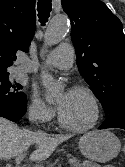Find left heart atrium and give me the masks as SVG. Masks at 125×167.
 Segmentation results:
<instances>
[{
	"instance_id": "left-heart-atrium-1",
	"label": "left heart atrium",
	"mask_w": 125,
	"mask_h": 167,
	"mask_svg": "<svg viewBox=\"0 0 125 167\" xmlns=\"http://www.w3.org/2000/svg\"><path fill=\"white\" fill-rule=\"evenodd\" d=\"M68 94H69V92H66V93L63 94L61 101L58 103V108H59V110L62 108V106H63V104H64V101H65L66 98L68 97Z\"/></svg>"
}]
</instances>
